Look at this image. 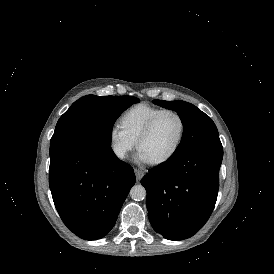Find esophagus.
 Listing matches in <instances>:
<instances>
[{
  "mask_svg": "<svg viewBox=\"0 0 274 274\" xmlns=\"http://www.w3.org/2000/svg\"><path fill=\"white\" fill-rule=\"evenodd\" d=\"M135 176L138 180H141V178L144 176L145 172L139 169H135Z\"/></svg>",
  "mask_w": 274,
  "mask_h": 274,
  "instance_id": "1",
  "label": "esophagus"
}]
</instances>
